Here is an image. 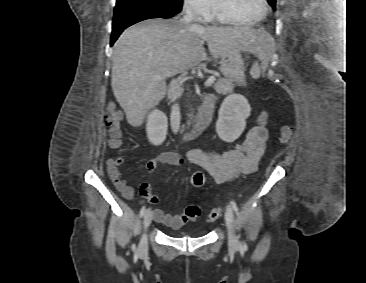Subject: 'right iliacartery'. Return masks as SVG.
<instances>
[{"label": "right iliac artery", "instance_id": "right-iliac-artery-1", "mask_svg": "<svg viewBox=\"0 0 366 283\" xmlns=\"http://www.w3.org/2000/svg\"><path fill=\"white\" fill-rule=\"evenodd\" d=\"M145 212H146V208H145V206H143L142 208H141V210H140V216L142 217V216H144V214H145ZM133 250H135L136 249V247H135V245H133Z\"/></svg>", "mask_w": 366, "mask_h": 283}]
</instances>
